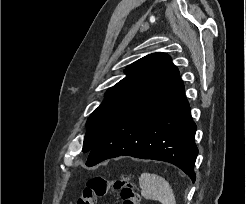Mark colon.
<instances>
[{
	"label": "colon",
	"mask_w": 246,
	"mask_h": 204,
	"mask_svg": "<svg viewBox=\"0 0 246 204\" xmlns=\"http://www.w3.org/2000/svg\"><path fill=\"white\" fill-rule=\"evenodd\" d=\"M110 190L119 192L122 204H138L140 201L135 184L129 176L121 175L115 179L96 176L87 181L77 204H96V200L104 197Z\"/></svg>",
	"instance_id": "1"
}]
</instances>
